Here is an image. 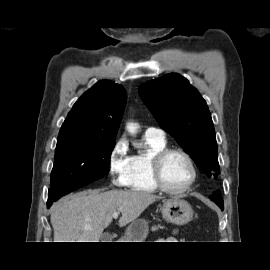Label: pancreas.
I'll list each match as a JSON object with an SVG mask.
<instances>
[{"instance_id": "cf45deb5", "label": "pancreas", "mask_w": 270, "mask_h": 270, "mask_svg": "<svg viewBox=\"0 0 270 270\" xmlns=\"http://www.w3.org/2000/svg\"><path fill=\"white\" fill-rule=\"evenodd\" d=\"M159 228H163V227L159 226ZM151 230H152V231H156V230H158V227L153 226V227L151 228ZM175 233H177V231H174V234H175Z\"/></svg>"}]
</instances>
